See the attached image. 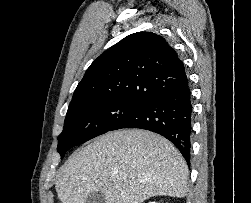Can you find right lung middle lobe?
<instances>
[{
  "label": "right lung middle lobe",
  "mask_w": 251,
  "mask_h": 203,
  "mask_svg": "<svg viewBox=\"0 0 251 203\" xmlns=\"http://www.w3.org/2000/svg\"><path fill=\"white\" fill-rule=\"evenodd\" d=\"M142 103L129 101H91L69 105L64 129L58 137L57 151L64 157L70 148L111 131Z\"/></svg>",
  "instance_id": "obj_1"
}]
</instances>
